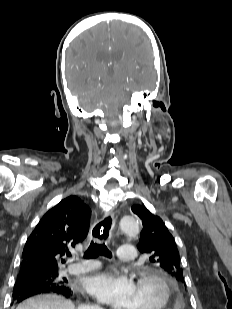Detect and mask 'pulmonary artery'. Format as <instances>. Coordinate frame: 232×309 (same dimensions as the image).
<instances>
[{
    "label": "pulmonary artery",
    "instance_id": "obj_1",
    "mask_svg": "<svg viewBox=\"0 0 232 309\" xmlns=\"http://www.w3.org/2000/svg\"><path fill=\"white\" fill-rule=\"evenodd\" d=\"M117 257L121 261L132 262L135 259L134 247L130 245L119 247L117 250ZM97 266L98 265L95 262L70 264L66 268V272L71 273V274H81V273L89 272L95 269Z\"/></svg>",
    "mask_w": 232,
    "mask_h": 309
}]
</instances>
